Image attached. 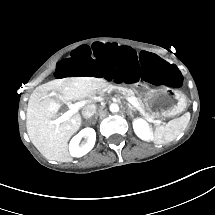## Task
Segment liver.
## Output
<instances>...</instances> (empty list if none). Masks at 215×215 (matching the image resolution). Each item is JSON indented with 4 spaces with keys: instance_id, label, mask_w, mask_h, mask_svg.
Masks as SVG:
<instances>
[{
    "instance_id": "liver-1",
    "label": "liver",
    "mask_w": 215,
    "mask_h": 215,
    "mask_svg": "<svg viewBox=\"0 0 215 215\" xmlns=\"http://www.w3.org/2000/svg\"><path fill=\"white\" fill-rule=\"evenodd\" d=\"M108 83L95 77H67L55 79L35 88L30 95L27 108V133L33 145L47 159L72 162L68 151V141L81 126V115L73 114L70 119L59 126L50 121L57 116L60 102L50 98L48 92L60 93L64 101L82 100L92 96Z\"/></svg>"
}]
</instances>
